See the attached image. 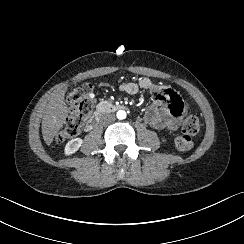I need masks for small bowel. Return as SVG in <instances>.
<instances>
[{
    "instance_id": "c3829d8e",
    "label": "small bowel",
    "mask_w": 244,
    "mask_h": 244,
    "mask_svg": "<svg viewBox=\"0 0 244 244\" xmlns=\"http://www.w3.org/2000/svg\"><path fill=\"white\" fill-rule=\"evenodd\" d=\"M120 89L130 95H135L141 90L154 92L155 95L143 114L142 121L159 130H173L177 127L184 105L174 89L148 78H141L136 83L123 84Z\"/></svg>"
}]
</instances>
